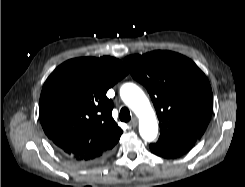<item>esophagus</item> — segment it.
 Instances as JSON below:
<instances>
[{"label": "esophagus", "mask_w": 245, "mask_h": 187, "mask_svg": "<svg viewBox=\"0 0 245 187\" xmlns=\"http://www.w3.org/2000/svg\"><path fill=\"white\" fill-rule=\"evenodd\" d=\"M129 124L131 127L135 128L138 125V119L133 117Z\"/></svg>", "instance_id": "obj_1"}]
</instances>
